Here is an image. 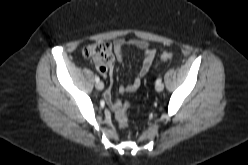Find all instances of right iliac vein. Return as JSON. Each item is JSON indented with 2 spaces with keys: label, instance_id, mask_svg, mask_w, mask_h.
Here are the masks:
<instances>
[{
  "label": "right iliac vein",
  "instance_id": "obj_1",
  "mask_svg": "<svg viewBox=\"0 0 248 165\" xmlns=\"http://www.w3.org/2000/svg\"><path fill=\"white\" fill-rule=\"evenodd\" d=\"M95 87L98 90H102L104 88V84H103V82L99 81V82H96Z\"/></svg>",
  "mask_w": 248,
  "mask_h": 165
}]
</instances>
